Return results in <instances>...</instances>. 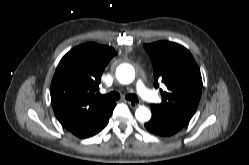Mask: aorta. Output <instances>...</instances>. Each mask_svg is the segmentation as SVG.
<instances>
[{
  "instance_id": "obj_1",
  "label": "aorta",
  "mask_w": 249,
  "mask_h": 165,
  "mask_svg": "<svg viewBox=\"0 0 249 165\" xmlns=\"http://www.w3.org/2000/svg\"><path fill=\"white\" fill-rule=\"evenodd\" d=\"M116 77L122 84H129L134 80L135 71L132 66L121 65L116 70ZM135 117L140 122H147L151 118V112L144 106H139L135 111Z\"/></svg>"
}]
</instances>
